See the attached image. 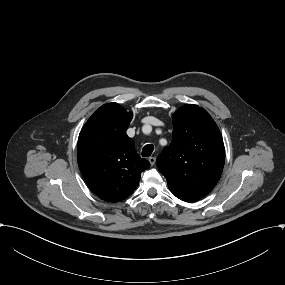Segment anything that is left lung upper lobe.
<instances>
[{
	"label": "left lung upper lobe",
	"mask_w": 285,
	"mask_h": 285,
	"mask_svg": "<svg viewBox=\"0 0 285 285\" xmlns=\"http://www.w3.org/2000/svg\"><path fill=\"white\" fill-rule=\"evenodd\" d=\"M172 121V142L158 156L156 165L176 197L194 202L207 195L221 176L223 139L211 116L197 105L180 108Z\"/></svg>",
	"instance_id": "1"
}]
</instances>
